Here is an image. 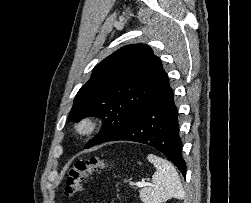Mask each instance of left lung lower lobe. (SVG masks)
Here are the masks:
<instances>
[{
    "label": "left lung lower lobe",
    "instance_id": "obj_1",
    "mask_svg": "<svg viewBox=\"0 0 251 203\" xmlns=\"http://www.w3.org/2000/svg\"><path fill=\"white\" fill-rule=\"evenodd\" d=\"M116 140L140 142L158 149L186 176L178 110L168 78L158 94L109 141Z\"/></svg>",
    "mask_w": 251,
    "mask_h": 203
}]
</instances>
